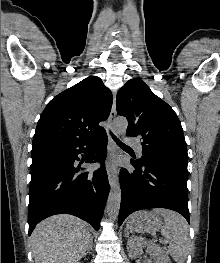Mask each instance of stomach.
<instances>
[{
  "label": "stomach",
  "instance_id": "stomach-1",
  "mask_svg": "<svg viewBox=\"0 0 220 263\" xmlns=\"http://www.w3.org/2000/svg\"><path fill=\"white\" fill-rule=\"evenodd\" d=\"M162 224L161 218L155 212L140 211L130 217L127 228L132 232L154 233Z\"/></svg>",
  "mask_w": 220,
  "mask_h": 263
}]
</instances>
